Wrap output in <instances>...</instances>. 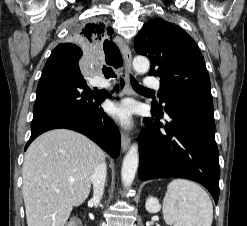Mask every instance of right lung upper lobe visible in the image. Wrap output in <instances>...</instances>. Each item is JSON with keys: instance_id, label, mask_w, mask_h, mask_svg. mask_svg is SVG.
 <instances>
[{"instance_id": "cb5924a9", "label": "right lung upper lobe", "mask_w": 247, "mask_h": 226, "mask_svg": "<svg viewBox=\"0 0 247 226\" xmlns=\"http://www.w3.org/2000/svg\"><path fill=\"white\" fill-rule=\"evenodd\" d=\"M112 32L113 30L102 22H91L86 24L76 37L88 45L102 44L106 63L118 68L122 66V58L116 44L108 39Z\"/></svg>"}]
</instances>
